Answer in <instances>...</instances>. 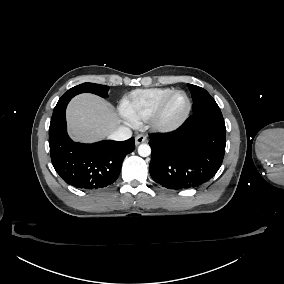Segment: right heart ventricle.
Instances as JSON below:
<instances>
[{
    "instance_id": "right-heart-ventricle-1",
    "label": "right heart ventricle",
    "mask_w": 284,
    "mask_h": 284,
    "mask_svg": "<svg viewBox=\"0 0 284 284\" xmlns=\"http://www.w3.org/2000/svg\"><path fill=\"white\" fill-rule=\"evenodd\" d=\"M172 87L136 89L124 94L120 100V113L125 120L136 124L147 120L159 101Z\"/></svg>"
}]
</instances>
